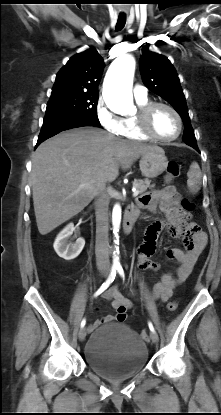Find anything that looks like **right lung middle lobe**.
<instances>
[{"instance_id": "right-lung-middle-lobe-1", "label": "right lung middle lobe", "mask_w": 221, "mask_h": 415, "mask_svg": "<svg viewBox=\"0 0 221 415\" xmlns=\"http://www.w3.org/2000/svg\"><path fill=\"white\" fill-rule=\"evenodd\" d=\"M98 93L58 92L52 93L47 104L46 115H74L99 123L97 117Z\"/></svg>"}]
</instances>
